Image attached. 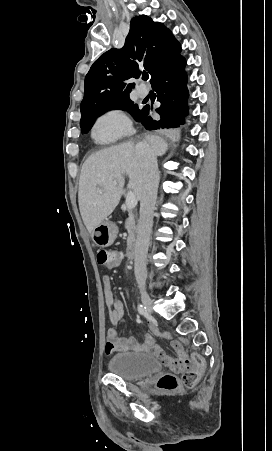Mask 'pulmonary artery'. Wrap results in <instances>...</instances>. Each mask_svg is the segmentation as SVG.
<instances>
[{
	"label": "pulmonary artery",
	"instance_id": "1",
	"mask_svg": "<svg viewBox=\"0 0 272 451\" xmlns=\"http://www.w3.org/2000/svg\"><path fill=\"white\" fill-rule=\"evenodd\" d=\"M137 94L140 98H145L148 95V91L143 90V89H138Z\"/></svg>",
	"mask_w": 272,
	"mask_h": 451
}]
</instances>
